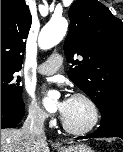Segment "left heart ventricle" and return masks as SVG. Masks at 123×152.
Listing matches in <instances>:
<instances>
[{"label": "left heart ventricle", "instance_id": "1", "mask_svg": "<svg viewBox=\"0 0 123 152\" xmlns=\"http://www.w3.org/2000/svg\"><path fill=\"white\" fill-rule=\"evenodd\" d=\"M91 118V109L87 103L71 98L63 120L73 128H83L89 124Z\"/></svg>", "mask_w": 123, "mask_h": 152}]
</instances>
